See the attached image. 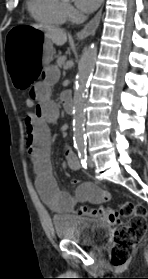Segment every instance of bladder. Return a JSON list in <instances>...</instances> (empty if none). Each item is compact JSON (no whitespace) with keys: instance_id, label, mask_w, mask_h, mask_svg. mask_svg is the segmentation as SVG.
<instances>
[{"instance_id":"31cf9c89","label":"bladder","mask_w":148,"mask_h":279,"mask_svg":"<svg viewBox=\"0 0 148 279\" xmlns=\"http://www.w3.org/2000/svg\"><path fill=\"white\" fill-rule=\"evenodd\" d=\"M52 223L59 240L87 247H96L103 243L110 231V227L99 220L73 215H56L52 218Z\"/></svg>"}]
</instances>
